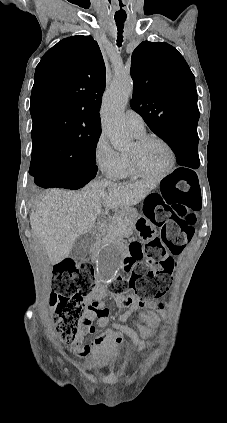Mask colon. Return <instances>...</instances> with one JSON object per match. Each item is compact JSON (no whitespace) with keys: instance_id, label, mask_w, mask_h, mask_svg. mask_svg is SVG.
Segmentation results:
<instances>
[{"instance_id":"colon-1","label":"colon","mask_w":227,"mask_h":423,"mask_svg":"<svg viewBox=\"0 0 227 423\" xmlns=\"http://www.w3.org/2000/svg\"><path fill=\"white\" fill-rule=\"evenodd\" d=\"M201 207V192L193 173L180 170L164 179L145 205V215L160 228L162 240H151L145 247L138 241L130 242L123 259L124 275L106 290L118 296L132 290L142 301L163 296L171 287L176 267L172 255L180 254L192 239ZM139 232L147 239L152 229L144 221L139 224ZM95 286L93 266L86 260L66 258L54 269L50 301L55 309L56 330L68 343L76 339L86 307L84 297Z\"/></svg>"}]
</instances>
